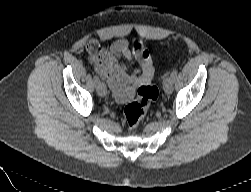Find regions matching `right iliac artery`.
Segmentation results:
<instances>
[{
	"label": "right iliac artery",
	"instance_id": "right-iliac-artery-1",
	"mask_svg": "<svg viewBox=\"0 0 251 192\" xmlns=\"http://www.w3.org/2000/svg\"><path fill=\"white\" fill-rule=\"evenodd\" d=\"M93 79H94L95 85L97 86L100 83L99 77L94 75Z\"/></svg>",
	"mask_w": 251,
	"mask_h": 192
}]
</instances>
